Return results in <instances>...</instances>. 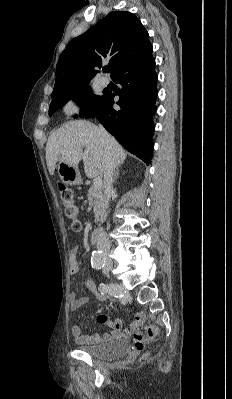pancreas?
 Here are the masks:
<instances>
[{
    "mask_svg": "<svg viewBox=\"0 0 232 399\" xmlns=\"http://www.w3.org/2000/svg\"><path fill=\"white\" fill-rule=\"evenodd\" d=\"M87 198L89 205L94 209L95 223H98V221H104L107 217L106 209L108 203L106 198H104V194H102V190H96L94 186H91L87 192Z\"/></svg>",
    "mask_w": 232,
    "mask_h": 399,
    "instance_id": "pancreas-1",
    "label": "pancreas"
}]
</instances>
